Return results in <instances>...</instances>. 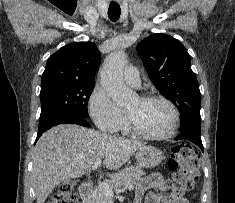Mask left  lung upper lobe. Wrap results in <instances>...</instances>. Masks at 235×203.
Returning <instances> with one entry per match:
<instances>
[{
  "label": "left lung upper lobe",
  "instance_id": "1",
  "mask_svg": "<svg viewBox=\"0 0 235 203\" xmlns=\"http://www.w3.org/2000/svg\"><path fill=\"white\" fill-rule=\"evenodd\" d=\"M152 83L180 112V131H201L200 90L190 56L175 38L152 34L137 45Z\"/></svg>",
  "mask_w": 235,
  "mask_h": 203
}]
</instances>
